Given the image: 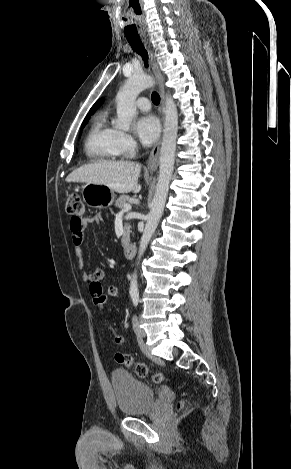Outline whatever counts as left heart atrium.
I'll return each instance as SVG.
<instances>
[{
	"mask_svg": "<svg viewBox=\"0 0 291 469\" xmlns=\"http://www.w3.org/2000/svg\"><path fill=\"white\" fill-rule=\"evenodd\" d=\"M135 132L144 145H152L160 134L159 120L151 114L141 116L135 123Z\"/></svg>",
	"mask_w": 291,
	"mask_h": 469,
	"instance_id": "obj_1",
	"label": "left heart atrium"
}]
</instances>
